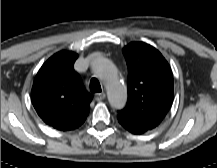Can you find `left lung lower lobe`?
I'll return each instance as SVG.
<instances>
[{"instance_id": "left-lung-lower-lobe-1", "label": "left lung lower lobe", "mask_w": 217, "mask_h": 168, "mask_svg": "<svg viewBox=\"0 0 217 168\" xmlns=\"http://www.w3.org/2000/svg\"><path fill=\"white\" fill-rule=\"evenodd\" d=\"M125 129H127L129 132L133 133V134H142L140 131L126 125V124H121Z\"/></svg>"}]
</instances>
